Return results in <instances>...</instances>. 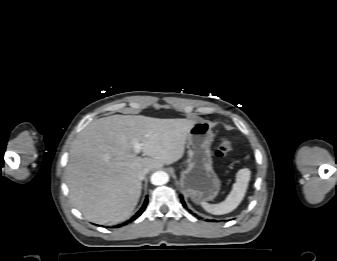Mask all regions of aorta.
Instances as JSON below:
<instances>
[{
	"label": "aorta",
	"instance_id": "obj_1",
	"mask_svg": "<svg viewBox=\"0 0 337 261\" xmlns=\"http://www.w3.org/2000/svg\"><path fill=\"white\" fill-rule=\"evenodd\" d=\"M169 181V176L164 171H156L151 176V183L153 185H163Z\"/></svg>",
	"mask_w": 337,
	"mask_h": 261
}]
</instances>
